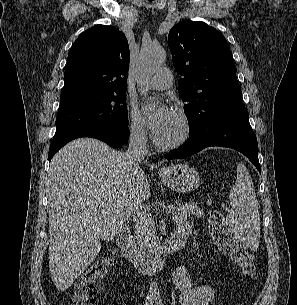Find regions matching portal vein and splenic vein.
Returning <instances> with one entry per match:
<instances>
[{"label":"portal vein and splenic vein","mask_w":297,"mask_h":305,"mask_svg":"<svg viewBox=\"0 0 297 305\" xmlns=\"http://www.w3.org/2000/svg\"><path fill=\"white\" fill-rule=\"evenodd\" d=\"M173 210V206H168L166 212L171 213Z\"/></svg>","instance_id":"1"}]
</instances>
